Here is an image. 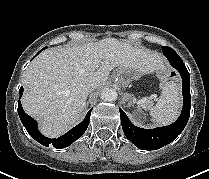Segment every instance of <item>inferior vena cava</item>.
Wrapping results in <instances>:
<instances>
[{"label": "inferior vena cava", "instance_id": "1", "mask_svg": "<svg viewBox=\"0 0 209 179\" xmlns=\"http://www.w3.org/2000/svg\"><path fill=\"white\" fill-rule=\"evenodd\" d=\"M96 89V86L94 84H89L84 88V93L86 95H88L89 93H91L92 91H94Z\"/></svg>", "mask_w": 209, "mask_h": 179}]
</instances>
